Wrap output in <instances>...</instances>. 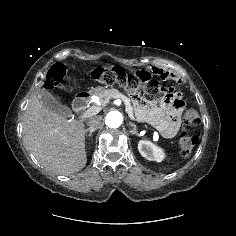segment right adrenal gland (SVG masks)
<instances>
[{
  "mask_svg": "<svg viewBox=\"0 0 236 236\" xmlns=\"http://www.w3.org/2000/svg\"><path fill=\"white\" fill-rule=\"evenodd\" d=\"M95 130H97V129H96V128H88V129H86V130H85V135H86V137L91 138L92 135H93V132H95Z\"/></svg>",
  "mask_w": 236,
  "mask_h": 236,
  "instance_id": "right-adrenal-gland-1",
  "label": "right adrenal gland"
}]
</instances>
